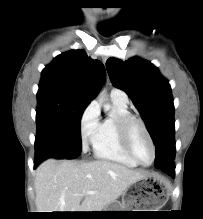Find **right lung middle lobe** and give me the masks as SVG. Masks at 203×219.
<instances>
[{"mask_svg": "<svg viewBox=\"0 0 203 219\" xmlns=\"http://www.w3.org/2000/svg\"><path fill=\"white\" fill-rule=\"evenodd\" d=\"M35 157L76 158L81 153L80 120L89 101L56 90H38Z\"/></svg>", "mask_w": 203, "mask_h": 219, "instance_id": "right-lung-middle-lobe-1", "label": "right lung middle lobe"}]
</instances>
